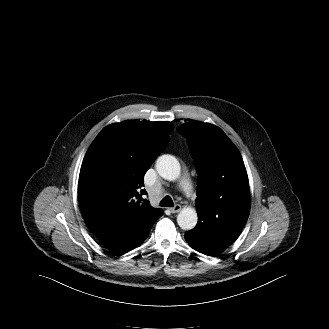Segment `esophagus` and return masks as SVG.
<instances>
[{
	"instance_id": "1",
	"label": "esophagus",
	"mask_w": 329,
	"mask_h": 329,
	"mask_svg": "<svg viewBox=\"0 0 329 329\" xmlns=\"http://www.w3.org/2000/svg\"><path fill=\"white\" fill-rule=\"evenodd\" d=\"M181 210V205L176 204L174 207L170 208L171 213H177Z\"/></svg>"
}]
</instances>
